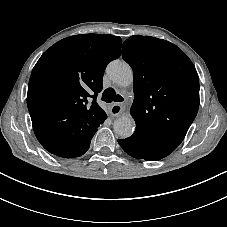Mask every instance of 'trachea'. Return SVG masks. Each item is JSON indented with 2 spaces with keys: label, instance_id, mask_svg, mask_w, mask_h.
Returning <instances> with one entry per match:
<instances>
[{
  "label": "trachea",
  "instance_id": "3493384b",
  "mask_svg": "<svg viewBox=\"0 0 227 227\" xmlns=\"http://www.w3.org/2000/svg\"><path fill=\"white\" fill-rule=\"evenodd\" d=\"M102 101H105L106 103H111L113 101L122 102L124 101V98L119 94H116L113 88H107L102 94Z\"/></svg>",
  "mask_w": 227,
  "mask_h": 227
}]
</instances>
